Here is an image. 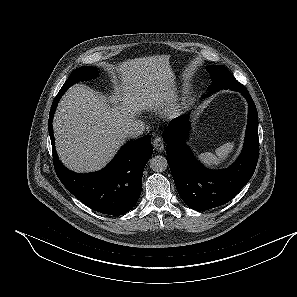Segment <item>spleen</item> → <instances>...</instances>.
Returning a JSON list of instances; mask_svg holds the SVG:
<instances>
[{
    "label": "spleen",
    "mask_w": 297,
    "mask_h": 297,
    "mask_svg": "<svg viewBox=\"0 0 297 297\" xmlns=\"http://www.w3.org/2000/svg\"><path fill=\"white\" fill-rule=\"evenodd\" d=\"M234 143H225L215 150V154L211 152H205L198 155L199 160L208 166H217L222 163L233 150Z\"/></svg>",
    "instance_id": "1"
}]
</instances>
